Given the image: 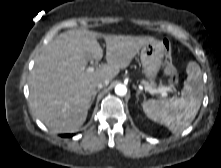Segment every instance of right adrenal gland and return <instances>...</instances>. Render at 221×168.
Instances as JSON below:
<instances>
[{"label": "right adrenal gland", "mask_w": 221, "mask_h": 168, "mask_svg": "<svg viewBox=\"0 0 221 168\" xmlns=\"http://www.w3.org/2000/svg\"><path fill=\"white\" fill-rule=\"evenodd\" d=\"M98 92H99V89H97L96 93L93 95L90 104H92V103L94 102L95 96H96V94H97Z\"/></svg>", "instance_id": "1"}]
</instances>
